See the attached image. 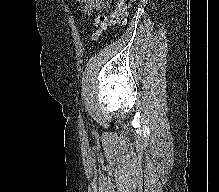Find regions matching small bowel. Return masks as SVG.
<instances>
[{"mask_svg": "<svg viewBox=\"0 0 219 192\" xmlns=\"http://www.w3.org/2000/svg\"><path fill=\"white\" fill-rule=\"evenodd\" d=\"M82 4V13L90 15L91 13L104 12L110 7L109 0H75Z\"/></svg>", "mask_w": 219, "mask_h": 192, "instance_id": "c3829d8e", "label": "small bowel"}]
</instances>
